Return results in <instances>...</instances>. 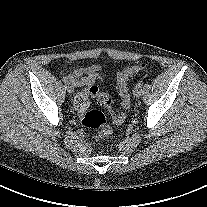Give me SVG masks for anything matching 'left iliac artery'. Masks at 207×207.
Listing matches in <instances>:
<instances>
[{
  "label": "left iliac artery",
  "instance_id": "left-iliac-artery-1",
  "mask_svg": "<svg viewBox=\"0 0 207 207\" xmlns=\"http://www.w3.org/2000/svg\"><path fill=\"white\" fill-rule=\"evenodd\" d=\"M138 85H139V86H142V85H143V81H139V82H138Z\"/></svg>",
  "mask_w": 207,
  "mask_h": 207
}]
</instances>
